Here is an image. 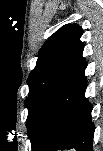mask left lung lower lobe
Masks as SVG:
<instances>
[{"instance_id": "left-lung-lower-lobe-1", "label": "left lung lower lobe", "mask_w": 103, "mask_h": 151, "mask_svg": "<svg viewBox=\"0 0 103 151\" xmlns=\"http://www.w3.org/2000/svg\"><path fill=\"white\" fill-rule=\"evenodd\" d=\"M77 41L31 82L26 121L34 151H92V105L85 98L87 62Z\"/></svg>"}]
</instances>
